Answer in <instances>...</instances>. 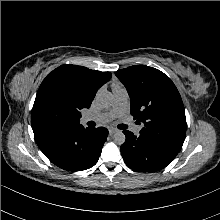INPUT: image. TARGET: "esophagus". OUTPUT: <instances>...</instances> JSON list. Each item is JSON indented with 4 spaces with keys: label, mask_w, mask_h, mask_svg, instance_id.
I'll return each mask as SVG.
<instances>
[{
    "label": "esophagus",
    "mask_w": 220,
    "mask_h": 220,
    "mask_svg": "<svg viewBox=\"0 0 220 220\" xmlns=\"http://www.w3.org/2000/svg\"><path fill=\"white\" fill-rule=\"evenodd\" d=\"M115 132H117V129H115V128H109V134L110 135H112V134H114Z\"/></svg>",
    "instance_id": "1"
}]
</instances>
